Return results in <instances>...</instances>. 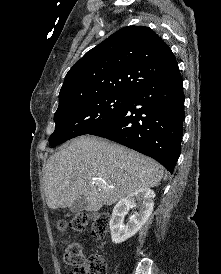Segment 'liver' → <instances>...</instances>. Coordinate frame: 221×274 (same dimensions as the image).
Listing matches in <instances>:
<instances>
[{
	"label": "liver",
	"instance_id": "liver-1",
	"mask_svg": "<svg viewBox=\"0 0 221 274\" xmlns=\"http://www.w3.org/2000/svg\"><path fill=\"white\" fill-rule=\"evenodd\" d=\"M163 173L159 163L138 152L81 136L48 159L44 192L50 209L70 207L84 196L86 211L96 212L139 189L156 187Z\"/></svg>",
	"mask_w": 221,
	"mask_h": 274
}]
</instances>
